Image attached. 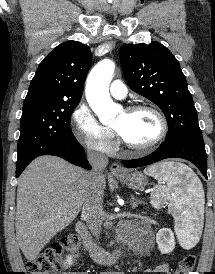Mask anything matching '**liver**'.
Here are the masks:
<instances>
[{
	"instance_id": "obj_1",
	"label": "liver",
	"mask_w": 215,
	"mask_h": 274,
	"mask_svg": "<svg viewBox=\"0 0 215 274\" xmlns=\"http://www.w3.org/2000/svg\"><path fill=\"white\" fill-rule=\"evenodd\" d=\"M88 172L55 156L34 159L18 180L16 237L33 262L43 247L65 229L83 206ZM103 189L106 180L102 179Z\"/></svg>"
}]
</instances>
